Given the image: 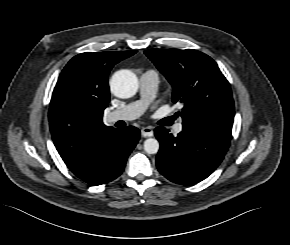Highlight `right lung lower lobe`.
<instances>
[{
	"label": "right lung lower lobe",
	"instance_id": "right-lung-lower-lobe-1",
	"mask_svg": "<svg viewBox=\"0 0 290 245\" xmlns=\"http://www.w3.org/2000/svg\"><path fill=\"white\" fill-rule=\"evenodd\" d=\"M139 138L140 131L136 127L113 129L85 159L68 168L92 186L108 183L123 172Z\"/></svg>",
	"mask_w": 290,
	"mask_h": 245
}]
</instances>
